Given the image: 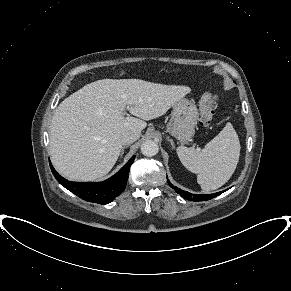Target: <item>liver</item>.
I'll return each mask as SVG.
<instances>
[{
	"label": "liver",
	"instance_id": "liver-1",
	"mask_svg": "<svg viewBox=\"0 0 291 291\" xmlns=\"http://www.w3.org/2000/svg\"><path fill=\"white\" fill-rule=\"evenodd\" d=\"M190 93L186 86L140 79H103L63 100L50 126L49 152L56 170L72 181L106 175L122 149L121 135L141 132ZM125 109L138 118L125 117Z\"/></svg>",
	"mask_w": 291,
	"mask_h": 291
}]
</instances>
